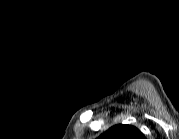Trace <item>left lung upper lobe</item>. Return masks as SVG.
I'll return each mask as SVG.
<instances>
[{"label":"left lung upper lobe","instance_id":"obj_1","mask_svg":"<svg viewBox=\"0 0 179 139\" xmlns=\"http://www.w3.org/2000/svg\"><path fill=\"white\" fill-rule=\"evenodd\" d=\"M103 139H144V135L134 126L118 124L102 135Z\"/></svg>","mask_w":179,"mask_h":139}]
</instances>
